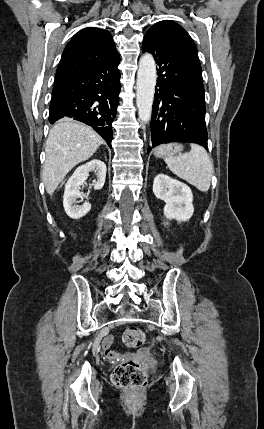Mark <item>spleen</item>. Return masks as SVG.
Listing matches in <instances>:
<instances>
[{"label":"spleen","mask_w":264,"mask_h":429,"mask_svg":"<svg viewBox=\"0 0 264 429\" xmlns=\"http://www.w3.org/2000/svg\"><path fill=\"white\" fill-rule=\"evenodd\" d=\"M188 153L165 157L164 160L172 173L195 186L201 192H207L211 185L213 164L206 150L198 145L191 144Z\"/></svg>","instance_id":"1"}]
</instances>
